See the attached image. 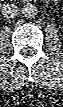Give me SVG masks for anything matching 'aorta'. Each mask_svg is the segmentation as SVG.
Listing matches in <instances>:
<instances>
[{
	"mask_svg": "<svg viewBox=\"0 0 63 107\" xmlns=\"http://www.w3.org/2000/svg\"><path fill=\"white\" fill-rule=\"evenodd\" d=\"M37 13H38V9L35 6V4L26 3L22 7V14L26 18H33V17H35L37 15Z\"/></svg>",
	"mask_w": 63,
	"mask_h": 107,
	"instance_id": "1",
	"label": "aorta"
}]
</instances>
